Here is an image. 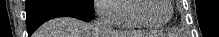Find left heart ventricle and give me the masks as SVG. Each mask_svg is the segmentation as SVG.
<instances>
[{"label": "left heart ventricle", "mask_w": 219, "mask_h": 37, "mask_svg": "<svg viewBox=\"0 0 219 37\" xmlns=\"http://www.w3.org/2000/svg\"><path fill=\"white\" fill-rule=\"evenodd\" d=\"M141 16L152 22H162L169 16L170 9L165 0H145L140 4Z\"/></svg>", "instance_id": "b2bd125f"}]
</instances>
